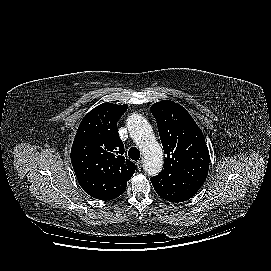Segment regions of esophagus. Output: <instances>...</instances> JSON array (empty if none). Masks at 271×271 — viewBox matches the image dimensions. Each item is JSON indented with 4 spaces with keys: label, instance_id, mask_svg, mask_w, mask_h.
I'll use <instances>...</instances> for the list:
<instances>
[{
    "label": "esophagus",
    "instance_id": "obj_1",
    "mask_svg": "<svg viewBox=\"0 0 271 271\" xmlns=\"http://www.w3.org/2000/svg\"><path fill=\"white\" fill-rule=\"evenodd\" d=\"M136 166H137V169L139 171H141V169H142V161L141 160L137 161Z\"/></svg>",
    "mask_w": 271,
    "mask_h": 271
}]
</instances>
